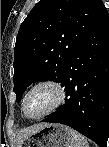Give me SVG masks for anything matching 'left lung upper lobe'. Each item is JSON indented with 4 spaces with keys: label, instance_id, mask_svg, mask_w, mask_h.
<instances>
[{
    "label": "left lung upper lobe",
    "instance_id": "5c2ea615",
    "mask_svg": "<svg viewBox=\"0 0 109 147\" xmlns=\"http://www.w3.org/2000/svg\"><path fill=\"white\" fill-rule=\"evenodd\" d=\"M106 11L101 0H40L34 6L14 48L17 101L35 81H62L70 57Z\"/></svg>",
    "mask_w": 109,
    "mask_h": 147
}]
</instances>
